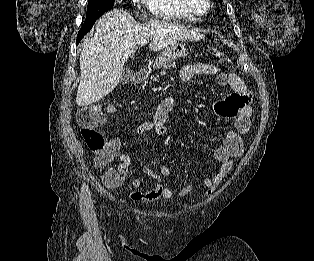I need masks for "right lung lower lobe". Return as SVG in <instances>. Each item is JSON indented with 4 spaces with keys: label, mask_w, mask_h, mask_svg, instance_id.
Masks as SVG:
<instances>
[{
    "label": "right lung lower lobe",
    "mask_w": 314,
    "mask_h": 261,
    "mask_svg": "<svg viewBox=\"0 0 314 261\" xmlns=\"http://www.w3.org/2000/svg\"><path fill=\"white\" fill-rule=\"evenodd\" d=\"M95 22L89 24V25H83V27L79 30L78 37H77V44L80 42V40L83 38V36L89 32V30L92 28Z\"/></svg>",
    "instance_id": "1"
}]
</instances>
